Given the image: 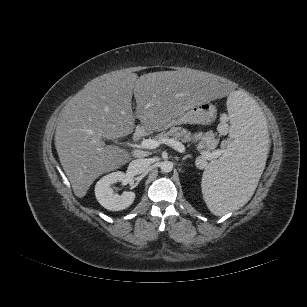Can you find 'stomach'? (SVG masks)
Returning <instances> with one entry per match:
<instances>
[{
  "instance_id": "obj_1",
  "label": "stomach",
  "mask_w": 307,
  "mask_h": 307,
  "mask_svg": "<svg viewBox=\"0 0 307 307\" xmlns=\"http://www.w3.org/2000/svg\"><path fill=\"white\" fill-rule=\"evenodd\" d=\"M215 115H216V109L213 104L207 102H200L192 105L182 114L171 118V120L168 123L152 127L149 130L167 129L172 125L185 124V123L206 124L213 121Z\"/></svg>"
}]
</instances>
